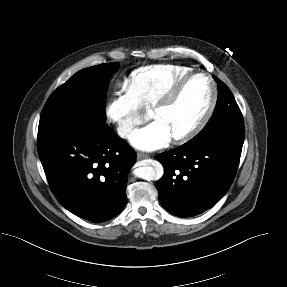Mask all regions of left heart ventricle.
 <instances>
[{
  "instance_id": "1",
  "label": "left heart ventricle",
  "mask_w": 287,
  "mask_h": 287,
  "mask_svg": "<svg viewBox=\"0 0 287 287\" xmlns=\"http://www.w3.org/2000/svg\"><path fill=\"white\" fill-rule=\"evenodd\" d=\"M211 98V86L204 77L191 79L169 107L151 114L162 122L171 135L182 133L192 127L205 112Z\"/></svg>"
}]
</instances>
